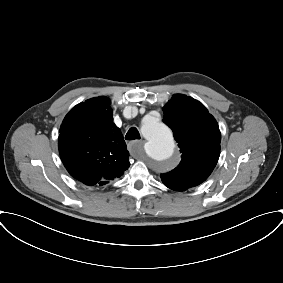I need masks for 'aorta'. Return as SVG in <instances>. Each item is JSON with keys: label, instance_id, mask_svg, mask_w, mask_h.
Segmentation results:
<instances>
[{"label": "aorta", "instance_id": "aorta-1", "mask_svg": "<svg viewBox=\"0 0 283 283\" xmlns=\"http://www.w3.org/2000/svg\"><path fill=\"white\" fill-rule=\"evenodd\" d=\"M142 133L146 139L144 144L146 155L159 169L168 168L175 146L170 129L160 121H153L143 125Z\"/></svg>", "mask_w": 283, "mask_h": 283}]
</instances>
